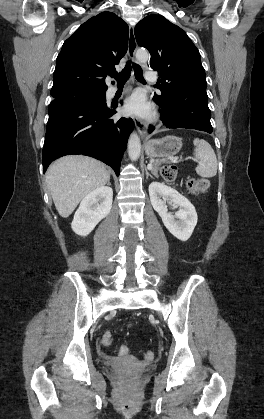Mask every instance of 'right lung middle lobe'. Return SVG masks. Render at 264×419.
Masks as SVG:
<instances>
[{"mask_svg": "<svg viewBox=\"0 0 264 419\" xmlns=\"http://www.w3.org/2000/svg\"><path fill=\"white\" fill-rule=\"evenodd\" d=\"M79 98L95 99V100H106V90H73L61 93L53 97L52 101L55 100H75Z\"/></svg>", "mask_w": 264, "mask_h": 419, "instance_id": "dd1d6c3e", "label": "right lung middle lobe"}]
</instances>
